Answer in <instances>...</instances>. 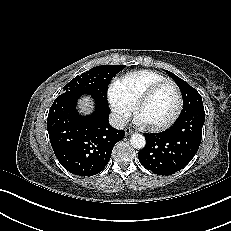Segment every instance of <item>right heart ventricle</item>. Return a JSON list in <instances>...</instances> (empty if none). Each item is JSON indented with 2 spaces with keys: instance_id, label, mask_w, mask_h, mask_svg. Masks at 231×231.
<instances>
[{
  "instance_id": "e07e8e85",
  "label": "right heart ventricle",
  "mask_w": 231,
  "mask_h": 231,
  "mask_svg": "<svg viewBox=\"0 0 231 231\" xmlns=\"http://www.w3.org/2000/svg\"><path fill=\"white\" fill-rule=\"evenodd\" d=\"M163 79V76L153 71H140L120 81L117 90L121 100L128 107H132L148 88Z\"/></svg>"
}]
</instances>
